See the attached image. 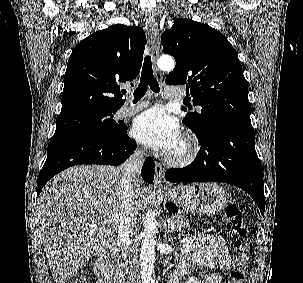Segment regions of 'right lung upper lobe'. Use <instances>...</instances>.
I'll return each mask as SVG.
<instances>
[{
  "label": "right lung upper lobe",
  "instance_id": "1",
  "mask_svg": "<svg viewBox=\"0 0 303 283\" xmlns=\"http://www.w3.org/2000/svg\"><path fill=\"white\" fill-rule=\"evenodd\" d=\"M145 45L142 28L123 24L97 31L81 41L67 64L59 116L121 108L125 100L118 84L138 76Z\"/></svg>",
  "mask_w": 303,
  "mask_h": 283
}]
</instances>
